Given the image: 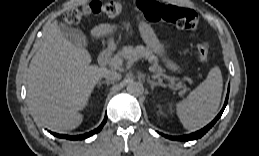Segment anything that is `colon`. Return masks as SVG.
Returning <instances> with one entry per match:
<instances>
[{"label": "colon", "instance_id": "obj_1", "mask_svg": "<svg viewBox=\"0 0 259 156\" xmlns=\"http://www.w3.org/2000/svg\"><path fill=\"white\" fill-rule=\"evenodd\" d=\"M138 7L150 21H165L176 27L194 32L198 26L197 14L188 8L161 4L152 0H139ZM125 11V6L118 1H93L80 8L68 10L63 16L64 25H74L92 15L117 17ZM209 43L201 41L196 46L197 57L200 62H207L209 58Z\"/></svg>", "mask_w": 259, "mask_h": 156}]
</instances>
